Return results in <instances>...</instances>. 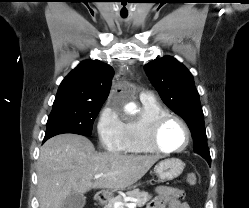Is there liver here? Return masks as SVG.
<instances>
[{"instance_id": "1", "label": "liver", "mask_w": 249, "mask_h": 208, "mask_svg": "<svg viewBox=\"0 0 249 208\" xmlns=\"http://www.w3.org/2000/svg\"><path fill=\"white\" fill-rule=\"evenodd\" d=\"M159 158L97 153L84 136L56 135L41 147L37 162L40 208H62L71 192L126 189L140 180ZM97 174L107 176L95 179Z\"/></svg>"}]
</instances>
